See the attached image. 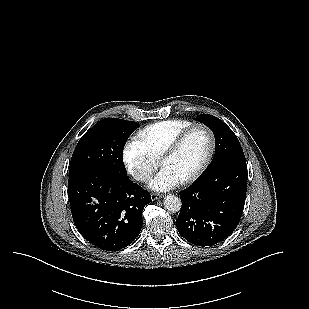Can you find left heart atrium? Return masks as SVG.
<instances>
[{
	"label": "left heart atrium",
	"instance_id": "obj_1",
	"mask_svg": "<svg viewBox=\"0 0 309 309\" xmlns=\"http://www.w3.org/2000/svg\"><path fill=\"white\" fill-rule=\"evenodd\" d=\"M181 180L168 168H162L160 172L149 182V187L158 192L173 189Z\"/></svg>",
	"mask_w": 309,
	"mask_h": 309
}]
</instances>
